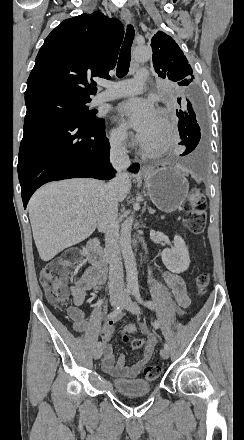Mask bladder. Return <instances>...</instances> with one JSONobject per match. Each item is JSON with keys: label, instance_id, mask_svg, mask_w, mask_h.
I'll list each match as a JSON object with an SVG mask.
<instances>
[{"label": "bladder", "instance_id": "obj_1", "mask_svg": "<svg viewBox=\"0 0 244 440\" xmlns=\"http://www.w3.org/2000/svg\"><path fill=\"white\" fill-rule=\"evenodd\" d=\"M113 384L114 391L127 396L149 394L152 390V385L146 383L142 377L127 380L115 378L113 379Z\"/></svg>", "mask_w": 244, "mask_h": 440}]
</instances>
